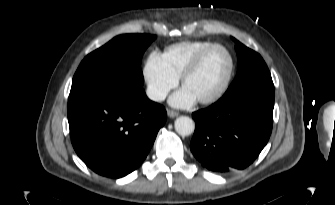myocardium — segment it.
<instances>
[{
  "label": "myocardium",
  "instance_id": "f54148a6",
  "mask_svg": "<svg viewBox=\"0 0 335 205\" xmlns=\"http://www.w3.org/2000/svg\"><path fill=\"white\" fill-rule=\"evenodd\" d=\"M214 49H222L226 52L230 60V68H229L228 74L226 78L224 79L223 83L212 95L206 98L197 100L200 104H204V105L212 104L218 101L226 93L227 89L229 88L230 83L235 73V69H236V63H235V58H234L233 53L225 45L220 44V43H213L207 46L206 48L202 49L193 58V60L189 63V65L185 68V70L181 74V83L184 86L186 80L199 69L206 55Z\"/></svg>",
  "mask_w": 335,
  "mask_h": 205
}]
</instances>
